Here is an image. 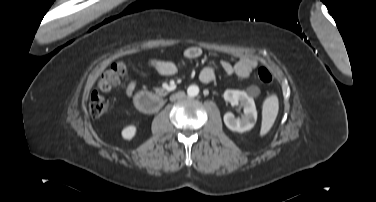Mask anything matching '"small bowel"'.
I'll use <instances>...</instances> for the list:
<instances>
[{
  "instance_id": "c3829d8e",
  "label": "small bowel",
  "mask_w": 376,
  "mask_h": 202,
  "mask_svg": "<svg viewBox=\"0 0 376 202\" xmlns=\"http://www.w3.org/2000/svg\"><path fill=\"white\" fill-rule=\"evenodd\" d=\"M184 58L187 60H195L202 55L201 48L197 46H190L183 52ZM150 65L162 76H172L178 73L181 68L180 63L151 59ZM257 62L248 56H242L237 59L234 64L227 61H221L217 67H204L200 70L198 78L203 83H211L216 81L218 73L225 75L236 74L240 77L246 78L250 75L251 71L256 67ZM136 89V81L130 80L127 84L126 92L132 95Z\"/></svg>"
}]
</instances>
